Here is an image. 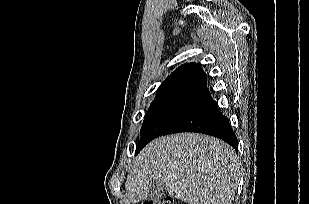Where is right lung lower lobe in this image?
<instances>
[{"instance_id": "1", "label": "right lung lower lobe", "mask_w": 309, "mask_h": 204, "mask_svg": "<svg viewBox=\"0 0 309 204\" xmlns=\"http://www.w3.org/2000/svg\"><path fill=\"white\" fill-rule=\"evenodd\" d=\"M178 132H198L218 137L238 150L237 138L229 120L218 109V104L209 99L177 119L159 136Z\"/></svg>"}]
</instances>
